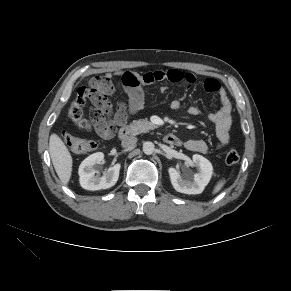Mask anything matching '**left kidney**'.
Masks as SVG:
<instances>
[{
	"instance_id": "1",
	"label": "left kidney",
	"mask_w": 291,
	"mask_h": 291,
	"mask_svg": "<svg viewBox=\"0 0 291 291\" xmlns=\"http://www.w3.org/2000/svg\"><path fill=\"white\" fill-rule=\"evenodd\" d=\"M192 159L193 163L199 168V170L191 177L181 176V174L173 167L168 169L171 184L177 192L185 194H200L211 179L213 167L210 161L198 154H194Z\"/></svg>"
}]
</instances>
